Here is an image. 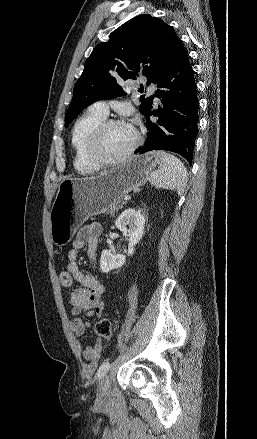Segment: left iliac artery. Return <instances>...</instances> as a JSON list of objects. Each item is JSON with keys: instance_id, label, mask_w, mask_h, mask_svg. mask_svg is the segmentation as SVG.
Returning <instances> with one entry per match:
<instances>
[{"instance_id": "left-iliac-artery-1", "label": "left iliac artery", "mask_w": 257, "mask_h": 439, "mask_svg": "<svg viewBox=\"0 0 257 439\" xmlns=\"http://www.w3.org/2000/svg\"><path fill=\"white\" fill-rule=\"evenodd\" d=\"M110 367H111V364L110 363H103L100 367H99V369H98V372H97V377L100 379L101 377H103L107 372H108V370L110 369Z\"/></svg>"}]
</instances>
